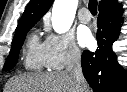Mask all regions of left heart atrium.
<instances>
[{
    "mask_svg": "<svg viewBox=\"0 0 127 92\" xmlns=\"http://www.w3.org/2000/svg\"><path fill=\"white\" fill-rule=\"evenodd\" d=\"M78 40L82 46H90L93 43V36L88 28H81L78 31Z\"/></svg>",
    "mask_w": 127,
    "mask_h": 92,
    "instance_id": "39dd6f15",
    "label": "left heart atrium"
}]
</instances>
